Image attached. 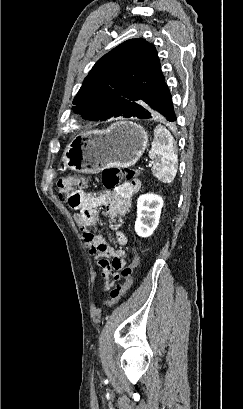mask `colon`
<instances>
[{
    "instance_id": "5ec220e1",
    "label": "colon",
    "mask_w": 243,
    "mask_h": 409,
    "mask_svg": "<svg viewBox=\"0 0 243 409\" xmlns=\"http://www.w3.org/2000/svg\"><path fill=\"white\" fill-rule=\"evenodd\" d=\"M137 176V171L129 167L111 166L104 169L102 172V182L105 188L112 189L116 187L121 180H133ZM84 187L85 181L79 176H70L62 178L57 184V194L61 201L66 202L70 207H77L80 203L77 191L74 187ZM139 264V256L135 251V257L132 263L122 268L120 274L123 278V283L116 285L110 292V297L104 301L105 307L115 306L119 300L127 293L133 283V271Z\"/></svg>"
}]
</instances>
